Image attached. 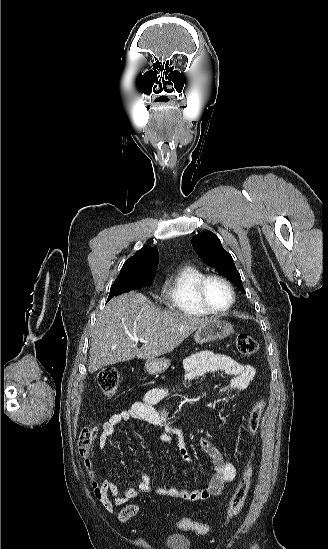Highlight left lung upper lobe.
Masks as SVG:
<instances>
[{
    "label": "left lung upper lobe",
    "instance_id": "1",
    "mask_svg": "<svg viewBox=\"0 0 328 549\" xmlns=\"http://www.w3.org/2000/svg\"><path fill=\"white\" fill-rule=\"evenodd\" d=\"M192 246L201 259L217 269L229 281L234 283L240 291L245 292L240 274L236 269L233 258L221 245L220 239L211 231H204L192 238Z\"/></svg>",
    "mask_w": 328,
    "mask_h": 549
}]
</instances>
